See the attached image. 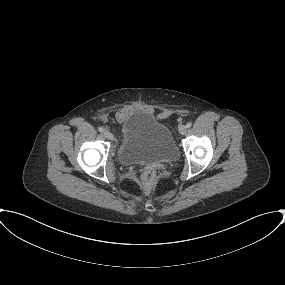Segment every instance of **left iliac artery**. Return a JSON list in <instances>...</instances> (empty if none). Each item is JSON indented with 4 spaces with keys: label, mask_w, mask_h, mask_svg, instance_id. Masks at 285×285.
Segmentation results:
<instances>
[{
    "label": "left iliac artery",
    "mask_w": 285,
    "mask_h": 285,
    "mask_svg": "<svg viewBox=\"0 0 285 285\" xmlns=\"http://www.w3.org/2000/svg\"><path fill=\"white\" fill-rule=\"evenodd\" d=\"M192 126V124L190 122L187 123L186 127L190 128Z\"/></svg>",
    "instance_id": "obj_1"
}]
</instances>
